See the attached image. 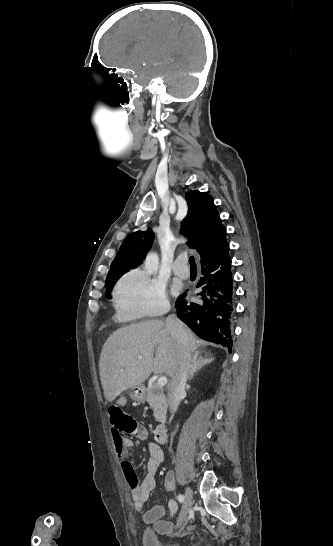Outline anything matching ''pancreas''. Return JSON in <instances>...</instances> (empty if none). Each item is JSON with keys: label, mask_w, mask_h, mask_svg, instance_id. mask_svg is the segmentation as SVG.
Segmentation results:
<instances>
[{"label": "pancreas", "mask_w": 333, "mask_h": 546, "mask_svg": "<svg viewBox=\"0 0 333 546\" xmlns=\"http://www.w3.org/2000/svg\"><path fill=\"white\" fill-rule=\"evenodd\" d=\"M146 400L153 409L156 421H162L167 413V399L162 387L156 383L147 388Z\"/></svg>", "instance_id": "1"}]
</instances>
